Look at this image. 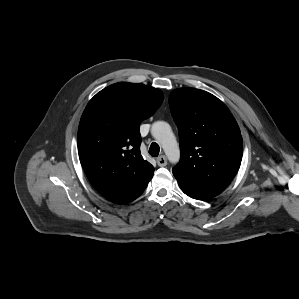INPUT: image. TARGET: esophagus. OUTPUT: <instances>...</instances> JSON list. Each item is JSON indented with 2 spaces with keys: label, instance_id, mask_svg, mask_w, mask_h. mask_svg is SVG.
Here are the masks:
<instances>
[{
  "label": "esophagus",
  "instance_id": "esophagus-1",
  "mask_svg": "<svg viewBox=\"0 0 299 299\" xmlns=\"http://www.w3.org/2000/svg\"><path fill=\"white\" fill-rule=\"evenodd\" d=\"M157 164L160 167H164L167 165V159L164 155H161L160 157L157 158Z\"/></svg>",
  "mask_w": 299,
  "mask_h": 299
}]
</instances>
